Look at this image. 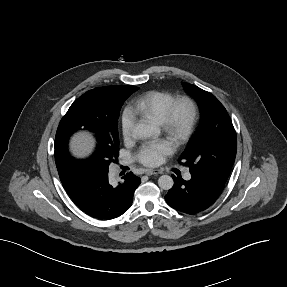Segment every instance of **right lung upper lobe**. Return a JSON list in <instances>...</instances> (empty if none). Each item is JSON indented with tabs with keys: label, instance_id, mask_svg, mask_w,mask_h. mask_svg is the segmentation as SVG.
I'll return each mask as SVG.
<instances>
[{
	"label": "right lung upper lobe",
	"instance_id": "right-lung-upper-lobe-1",
	"mask_svg": "<svg viewBox=\"0 0 287 287\" xmlns=\"http://www.w3.org/2000/svg\"><path fill=\"white\" fill-rule=\"evenodd\" d=\"M125 85L115 86L122 88ZM57 168H66L69 170H92L85 161H78L71 158L67 153L61 152L58 156L55 155Z\"/></svg>",
	"mask_w": 287,
	"mask_h": 287
}]
</instances>
